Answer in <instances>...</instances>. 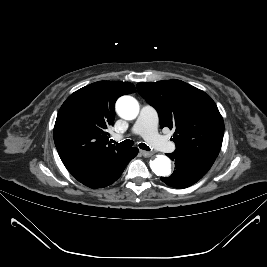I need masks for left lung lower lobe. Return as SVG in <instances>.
I'll list each match as a JSON object with an SVG mask.
<instances>
[{"mask_svg":"<svg viewBox=\"0 0 267 267\" xmlns=\"http://www.w3.org/2000/svg\"><path fill=\"white\" fill-rule=\"evenodd\" d=\"M167 156L175 162V170L170 177L161 180L174 188H186L200 180L211 168L213 162L190 156L175 150Z\"/></svg>","mask_w":267,"mask_h":267,"instance_id":"0a47b994","label":"left lung lower lobe"}]
</instances>
